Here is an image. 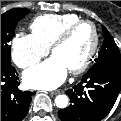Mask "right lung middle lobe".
<instances>
[{
  "label": "right lung middle lobe",
  "instance_id": "dd1d6c3e",
  "mask_svg": "<svg viewBox=\"0 0 121 121\" xmlns=\"http://www.w3.org/2000/svg\"><path fill=\"white\" fill-rule=\"evenodd\" d=\"M29 12L26 8H15L1 14V65H11L9 42L18 22Z\"/></svg>",
  "mask_w": 121,
  "mask_h": 121
}]
</instances>
